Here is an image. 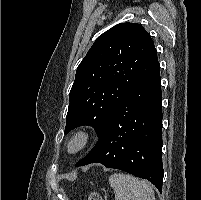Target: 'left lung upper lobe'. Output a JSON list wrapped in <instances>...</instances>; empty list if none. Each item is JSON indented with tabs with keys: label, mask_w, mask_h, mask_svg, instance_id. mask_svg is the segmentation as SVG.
<instances>
[{
	"label": "left lung upper lobe",
	"mask_w": 201,
	"mask_h": 200,
	"mask_svg": "<svg viewBox=\"0 0 201 200\" xmlns=\"http://www.w3.org/2000/svg\"><path fill=\"white\" fill-rule=\"evenodd\" d=\"M157 63L153 40L137 23H120L100 35L76 70L65 133L89 125L99 135L116 106Z\"/></svg>",
	"instance_id": "5c2ea615"
}]
</instances>
